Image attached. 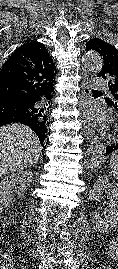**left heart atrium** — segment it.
Listing matches in <instances>:
<instances>
[{"label": "left heart atrium", "mask_w": 118, "mask_h": 269, "mask_svg": "<svg viewBox=\"0 0 118 269\" xmlns=\"http://www.w3.org/2000/svg\"><path fill=\"white\" fill-rule=\"evenodd\" d=\"M88 118L89 120H95L97 123H101L103 118L98 116L95 112L89 114L88 113Z\"/></svg>", "instance_id": "39dd6f15"}]
</instances>
